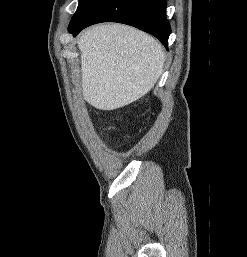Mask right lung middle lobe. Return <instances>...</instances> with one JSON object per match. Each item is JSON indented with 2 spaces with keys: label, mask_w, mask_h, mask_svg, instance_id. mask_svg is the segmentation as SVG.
I'll list each match as a JSON object with an SVG mask.
<instances>
[{
  "label": "right lung middle lobe",
  "mask_w": 247,
  "mask_h": 257,
  "mask_svg": "<svg viewBox=\"0 0 247 257\" xmlns=\"http://www.w3.org/2000/svg\"><path fill=\"white\" fill-rule=\"evenodd\" d=\"M94 1L95 0H79L77 11L72 17L70 24H74L79 21Z\"/></svg>",
  "instance_id": "right-lung-middle-lobe-1"
}]
</instances>
